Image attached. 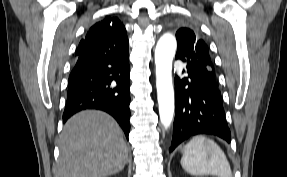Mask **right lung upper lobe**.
Segmentation results:
<instances>
[{"mask_svg": "<svg viewBox=\"0 0 287 177\" xmlns=\"http://www.w3.org/2000/svg\"><path fill=\"white\" fill-rule=\"evenodd\" d=\"M124 33H126L125 27L118 18L105 17L102 21L93 25L86 36L112 37ZM85 51L86 45L83 39L76 50L77 58L84 55Z\"/></svg>", "mask_w": 287, "mask_h": 177, "instance_id": "cb5924a9", "label": "right lung upper lobe"}]
</instances>
